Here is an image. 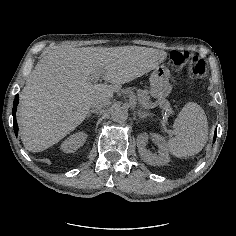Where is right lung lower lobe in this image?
<instances>
[{
	"mask_svg": "<svg viewBox=\"0 0 236 236\" xmlns=\"http://www.w3.org/2000/svg\"><path fill=\"white\" fill-rule=\"evenodd\" d=\"M18 101H19V96L16 95L15 99H14V103H13V110H12V114H13V118H14V132H15L16 136L18 134V124L16 121V110H17Z\"/></svg>",
	"mask_w": 236,
	"mask_h": 236,
	"instance_id": "98d812e1",
	"label": "right lung lower lobe"
}]
</instances>
